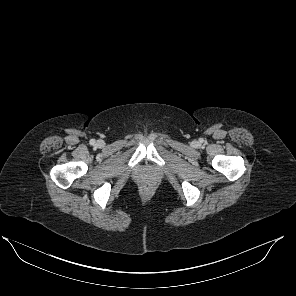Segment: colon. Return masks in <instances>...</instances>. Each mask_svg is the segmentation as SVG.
Listing matches in <instances>:
<instances>
[{
  "mask_svg": "<svg viewBox=\"0 0 296 296\" xmlns=\"http://www.w3.org/2000/svg\"><path fill=\"white\" fill-rule=\"evenodd\" d=\"M151 186L150 185H146L145 187H144V190L146 191V192H148V191H150L151 190Z\"/></svg>",
  "mask_w": 296,
  "mask_h": 296,
  "instance_id": "obj_1",
  "label": "colon"
}]
</instances>
